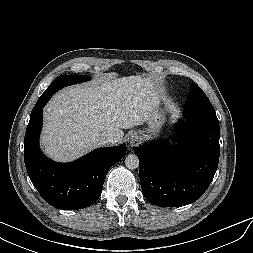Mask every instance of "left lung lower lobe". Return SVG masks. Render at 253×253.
Listing matches in <instances>:
<instances>
[{
    "label": "left lung lower lobe",
    "instance_id": "0a47b994",
    "mask_svg": "<svg viewBox=\"0 0 253 253\" xmlns=\"http://www.w3.org/2000/svg\"><path fill=\"white\" fill-rule=\"evenodd\" d=\"M180 141L170 146L152 141L135 149L144 196L157 206L177 207L196 201L218 167L220 129L216 114H183Z\"/></svg>",
    "mask_w": 253,
    "mask_h": 253
}]
</instances>
